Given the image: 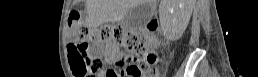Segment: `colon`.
I'll return each instance as SVG.
<instances>
[{
    "label": "colon",
    "instance_id": "5ec220e1",
    "mask_svg": "<svg viewBox=\"0 0 258 77\" xmlns=\"http://www.w3.org/2000/svg\"><path fill=\"white\" fill-rule=\"evenodd\" d=\"M69 27L75 43L69 46L70 64L76 77L92 76L103 66L100 58L92 59L89 51L105 48L122 47L127 51L118 63L123 77H157L154 67L157 55L152 49L158 45L155 38L148 34H136L118 25L90 27L85 24L78 13L71 12ZM114 73V72H113ZM113 77H119L114 73Z\"/></svg>",
    "mask_w": 258,
    "mask_h": 77
}]
</instances>
